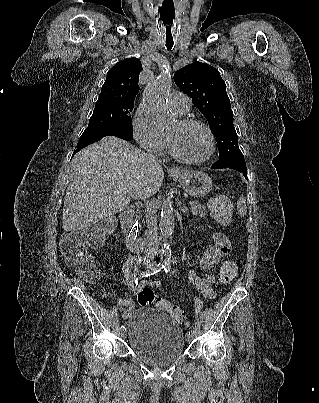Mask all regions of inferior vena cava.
<instances>
[{
  "label": "inferior vena cava",
  "instance_id": "inferior-vena-cava-1",
  "mask_svg": "<svg viewBox=\"0 0 319 403\" xmlns=\"http://www.w3.org/2000/svg\"><path fill=\"white\" fill-rule=\"evenodd\" d=\"M148 159L153 164H158V160L153 156V154H147ZM156 193V190L152 187H142L138 191V196L144 202L145 213H146V223H147V232L145 236L146 247L149 250H158V236H157V226H156V217L155 212L153 210V201L151 197Z\"/></svg>",
  "mask_w": 319,
  "mask_h": 403
}]
</instances>
